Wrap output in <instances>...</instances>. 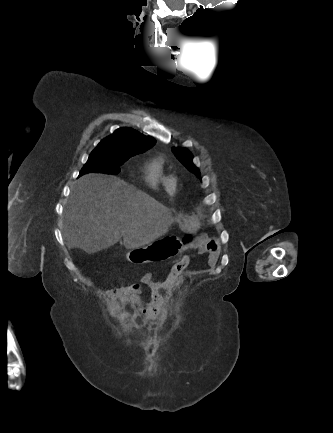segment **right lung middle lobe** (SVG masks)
<instances>
[{"label":"right lung middle lobe","instance_id":"1","mask_svg":"<svg viewBox=\"0 0 333 433\" xmlns=\"http://www.w3.org/2000/svg\"><path fill=\"white\" fill-rule=\"evenodd\" d=\"M132 156L134 155L114 153L105 148H95L80 171V176L89 172L118 174L120 166Z\"/></svg>","mask_w":333,"mask_h":433}]
</instances>
